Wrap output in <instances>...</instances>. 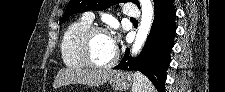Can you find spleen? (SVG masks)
<instances>
[{
  "label": "spleen",
  "mask_w": 225,
  "mask_h": 92,
  "mask_svg": "<svg viewBox=\"0 0 225 92\" xmlns=\"http://www.w3.org/2000/svg\"><path fill=\"white\" fill-rule=\"evenodd\" d=\"M132 92H156V89L145 75L136 72L133 75Z\"/></svg>",
  "instance_id": "obj_1"
}]
</instances>
